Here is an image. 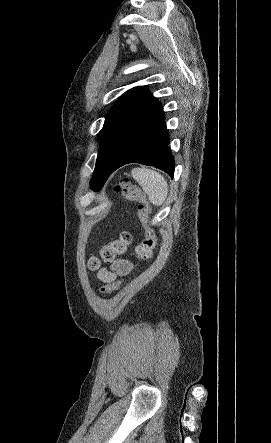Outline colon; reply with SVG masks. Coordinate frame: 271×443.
<instances>
[{"mask_svg": "<svg viewBox=\"0 0 271 443\" xmlns=\"http://www.w3.org/2000/svg\"><path fill=\"white\" fill-rule=\"evenodd\" d=\"M119 192L128 200L137 202L139 218L144 226L145 234L143 240L137 245L135 255L138 260H148L156 244V234L150 224V206L142 191L133 186L128 180H123L117 187ZM132 236L128 231H124L120 236L101 247L98 254L92 256L88 261L91 270H97L101 263L111 264L116 257L128 251ZM122 280L105 284L101 288L102 294H111L118 290Z\"/></svg>", "mask_w": 271, "mask_h": 443, "instance_id": "colon-1", "label": "colon"}]
</instances>
